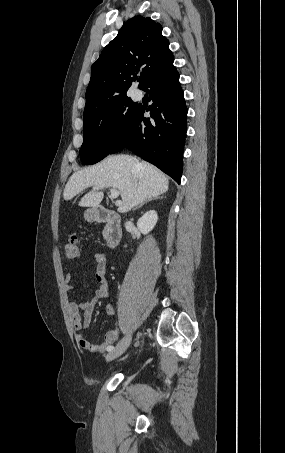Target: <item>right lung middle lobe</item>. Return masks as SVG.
<instances>
[{"mask_svg":"<svg viewBox=\"0 0 285 453\" xmlns=\"http://www.w3.org/2000/svg\"><path fill=\"white\" fill-rule=\"evenodd\" d=\"M138 106L122 96L84 114L83 164H95L111 153L130 125Z\"/></svg>","mask_w":285,"mask_h":453,"instance_id":"obj_1","label":"right lung middle lobe"}]
</instances>
